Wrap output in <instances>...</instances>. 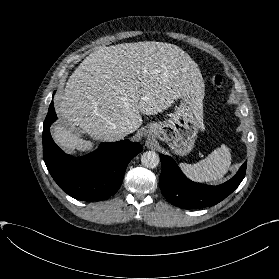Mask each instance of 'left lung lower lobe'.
Wrapping results in <instances>:
<instances>
[{"label":"left lung lower lobe","mask_w":279,"mask_h":279,"mask_svg":"<svg viewBox=\"0 0 279 279\" xmlns=\"http://www.w3.org/2000/svg\"><path fill=\"white\" fill-rule=\"evenodd\" d=\"M160 160L161 191L168 202L183 209L211 207L225 199L245 177L247 165L245 162L229 181L218 186H211L189 180L170 156L160 154Z\"/></svg>","instance_id":"0a47b994"}]
</instances>
